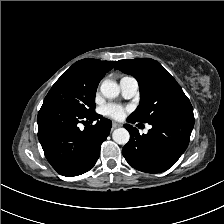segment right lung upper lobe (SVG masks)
Returning <instances> with one entry per match:
<instances>
[{"label":"right lung upper lobe","instance_id":"1","mask_svg":"<svg viewBox=\"0 0 224 224\" xmlns=\"http://www.w3.org/2000/svg\"><path fill=\"white\" fill-rule=\"evenodd\" d=\"M115 63V61H100L97 59L88 58L74 63L71 67L82 70L90 76L101 80L105 73L114 67Z\"/></svg>","mask_w":224,"mask_h":224}]
</instances>
